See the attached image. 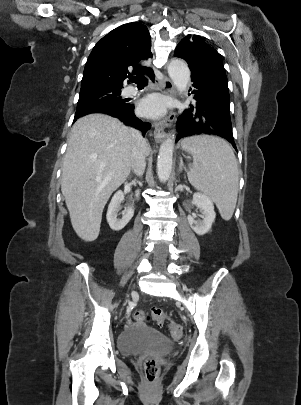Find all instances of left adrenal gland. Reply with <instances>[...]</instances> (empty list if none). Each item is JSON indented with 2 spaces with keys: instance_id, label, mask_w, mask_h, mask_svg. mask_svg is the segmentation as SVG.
Returning a JSON list of instances; mask_svg holds the SVG:
<instances>
[{
  "instance_id": "a2214340",
  "label": "left adrenal gland",
  "mask_w": 301,
  "mask_h": 405,
  "mask_svg": "<svg viewBox=\"0 0 301 405\" xmlns=\"http://www.w3.org/2000/svg\"><path fill=\"white\" fill-rule=\"evenodd\" d=\"M183 169L186 171V168L183 165V160H182V158H180V164H179V170L178 171L182 172Z\"/></svg>"
}]
</instances>
